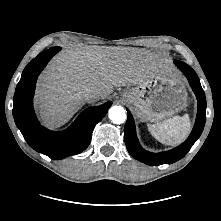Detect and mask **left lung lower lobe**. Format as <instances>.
Returning <instances> with one entry per match:
<instances>
[{"label": "left lung lower lobe", "mask_w": 221, "mask_h": 221, "mask_svg": "<svg viewBox=\"0 0 221 221\" xmlns=\"http://www.w3.org/2000/svg\"><path fill=\"white\" fill-rule=\"evenodd\" d=\"M174 63L187 77L198 101L196 122L190 136L184 143L170 151L162 153H151L144 150L138 142L134 120L130 111L127 109L128 119L124 128V139L127 150L132 157L151 166L171 164L183 158L200 137L206 122L205 93L201 87L200 80L196 72L184 62L174 61Z\"/></svg>", "instance_id": "1"}]
</instances>
